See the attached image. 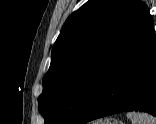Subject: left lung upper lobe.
Listing matches in <instances>:
<instances>
[{"instance_id":"5c2ea615","label":"left lung upper lobe","mask_w":156,"mask_h":124,"mask_svg":"<svg viewBox=\"0 0 156 124\" xmlns=\"http://www.w3.org/2000/svg\"><path fill=\"white\" fill-rule=\"evenodd\" d=\"M152 24L140 0H89L73 12L43 78L45 124H78L115 63Z\"/></svg>"}]
</instances>
